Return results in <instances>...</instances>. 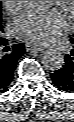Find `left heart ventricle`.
Listing matches in <instances>:
<instances>
[{
  "instance_id": "left-heart-ventricle-1",
  "label": "left heart ventricle",
  "mask_w": 74,
  "mask_h": 122,
  "mask_svg": "<svg viewBox=\"0 0 74 122\" xmlns=\"http://www.w3.org/2000/svg\"><path fill=\"white\" fill-rule=\"evenodd\" d=\"M54 2V1H53ZM63 14L69 19L70 12L68 11V8L66 5L61 6Z\"/></svg>"
}]
</instances>
